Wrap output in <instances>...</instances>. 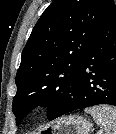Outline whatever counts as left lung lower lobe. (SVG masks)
<instances>
[{
	"label": "left lung lower lobe",
	"mask_w": 116,
	"mask_h": 134,
	"mask_svg": "<svg viewBox=\"0 0 116 134\" xmlns=\"http://www.w3.org/2000/svg\"><path fill=\"white\" fill-rule=\"evenodd\" d=\"M108 104L116 106V7L96 33L83 61L77 88L51 117L54 120L75 110Z\"/></svg>",
	"instance_id": "obj_1"
}]
</instances>
